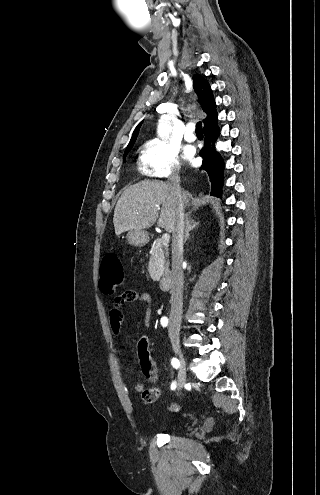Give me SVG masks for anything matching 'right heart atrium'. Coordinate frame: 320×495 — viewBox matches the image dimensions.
<instances>
[{"label":"right heart atrium","instance_id":"obj_1","mask_svg":"<svg viewBox=\"0 0 320 495\" xmlns=\"http://www.w3.org/2000/svg\"><path fill=\"white\" fill-rule=\"evenodd\" d=\"M139 164L143 173L159 179L177 175L181 167L175 147L158 139L145 143Z\"/></svg>","mask_w":320,"mask_h":495}]
</instances>
